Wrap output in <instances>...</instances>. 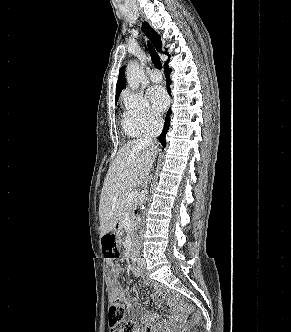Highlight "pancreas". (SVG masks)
Wrapping results in <instances>:
<instances>
[{
    "label": "pancreas",
    "instance_id": "cf45deb5",
    "mask_svg": "<svg viewBox=\"0 0 291 332\" xmlns=\"http://www.w3.org/2000/svg\"><path fill=\"white\" fill-rule=\"evenodd\" d=\"M137 208V203L133 202L131 204H128L126 202V196L124 197L123 201H122V218H124L125 216H129L131 223H133V219H134V210Z\"/></svg>",
    "mask_w": 291,
    "mask_h": 332
}]
</instances>
